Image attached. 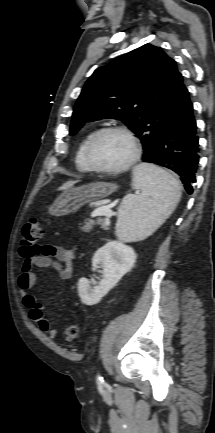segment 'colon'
I'll return each instance as SVG.
<instances>
[{
    "label": "colon",
    "instance_id": "1",
    "mask_svg": "<svg viewBox=\"0 0 215 433\" xmlns=\"http://www.w3.org/2000/svg\"><path fill=\"white\" fill-rule=\"evenodd\" d=\"M44 234L42 224L35 218L28 220L22 229V248L23 256H31L39 247ZM81 326L78 324L69 325L65 330V335L68 340H74L79 337Z\"/></svg>",
    "mask_w": 215,
    "mask_h": 433
}]
</instances>
